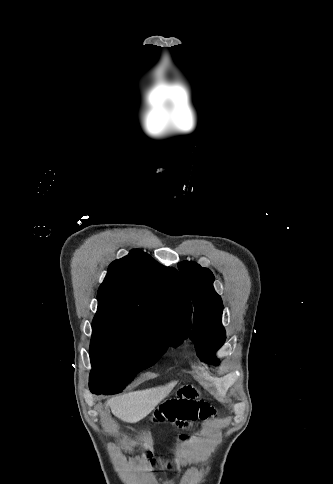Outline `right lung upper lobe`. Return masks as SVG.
I'll list each match as a JSON object with an SVG mask.
<instances>
[{
  "instance_id": "cb5924a9",
  "label": "right lung upper lobe",
  "mask_w": 333,
  "mask_h": 484,
  "mask_svg": "<svg viewBox=\"0 0 333 484\" xmlns=\"http://www.w3.org/2000/svg\"><path fill=\"white\" fill-rule=\"evenodd\" d=\"M96 316L121 317L161 327L175 323L189 334L192 306L176 269L139 250L113 261L98 291Z\"/></svg>"
}]
</instances>
